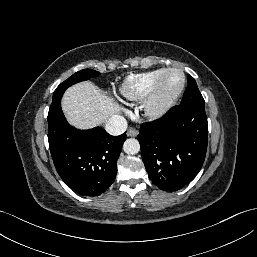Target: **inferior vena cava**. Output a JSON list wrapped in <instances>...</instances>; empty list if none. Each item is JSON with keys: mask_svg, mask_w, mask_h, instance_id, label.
Here are the masks:
<instances>
[{"mask_svg": "<svg viewBox=\"0 0 257 257\" xmlns=\"http://www.w3.org/2000/svg\"><path fill=\"white\" fill-rule=\"evenodd\" d=\"M126 129L127 121L119 115L111 116L105 123V130L111 135H121Z\"/></svg>", "mask_w": 257, "mask_h": 257, "instance_id": "1", "label": "inferior vena cava"}]
</instances>
